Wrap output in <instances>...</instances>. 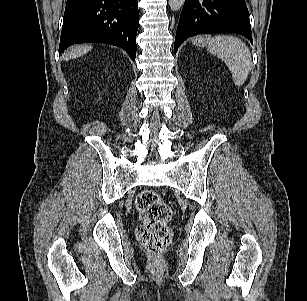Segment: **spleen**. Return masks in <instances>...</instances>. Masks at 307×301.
<instances>
[{
  "mask_svg": "<svg viewBox=\"0 0 307 301\" xmlns=\"http://www.w3.org/2000/svg\"><path fill=\"white\" fill-rule=\"evenodd\" d=\"M208 50L225 62L237 86L243 85L251 70V54L247 45L239 38L216 35L208 41Z\"/></svg>",
  "mask_w": 307,
  "mask_h": 301,
  "instance_id": "3e777b00",
  "label": "spleen"
}]
</instances>
